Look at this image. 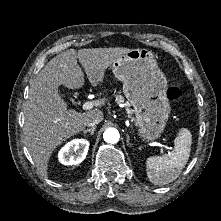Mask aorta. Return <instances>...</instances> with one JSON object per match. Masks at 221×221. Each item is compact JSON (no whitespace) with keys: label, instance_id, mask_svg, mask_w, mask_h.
<instances>
[{"label":"aorta","instance_id":"aorta-1","mask_svg":"<svg viewBox=\"0 0 221 221\" xmlns=\"http://www.w3.org/2000/svg\"><path fill=\"white\" fill-rule=\"evenodd\" d=\"M105 142L115 144L119 141L120 135L117 129L107 128L103 134Z\"/></svg>","mask_w":221,"mask_h":221}]
</instances>
